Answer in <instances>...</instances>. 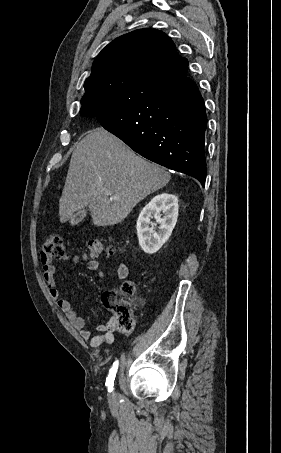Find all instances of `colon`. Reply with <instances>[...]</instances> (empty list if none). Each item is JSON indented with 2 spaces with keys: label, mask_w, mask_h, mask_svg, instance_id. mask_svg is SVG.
Returning a JSON list of instances; mask_svg holds the SVG:
<instances>
[{
  "label": "colon",
  "mask_w": 281,
  "mask_h": 453,
  "mask_svg": "<svg viewBox=\"0 0 281 453\" xmlns=\"http://www.w3.org/2000/svg\"><path fill=\"white\" fill-rule=\"evenodd\" d=\"M89 250L77 252L73 255L76 261L96 262L103 254L111 256H123L126 250L122 247H116L112 244L105 243L101 240H90L88 242ZM67 258L64 246V239L60 233H51L44 241L41 252L42 262L61 261ZM122 290L127 296L135 294V286L130 281L122 283ZM140 307L122 306L116 309L117 324L121 331H129L133 328V311L139 310Z\"/></svg>",
  "instance_id": "1"
}]
</instances>
